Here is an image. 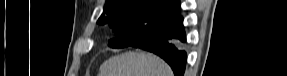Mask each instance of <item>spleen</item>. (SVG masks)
I'll use <instances>...</instances> for the list:
<instances>
[{
	"label": "spleen",
	"instance_id": "1",
	"mask_svg": "<svg viewBox=\"0 0 287 76\" xmlns=\"http://www.w3.org/2000/svg\"><path fill=\"white\" fill-rule=\"evenodd\" d=\"M101 76H173L169 65L146 52L128 51L111 57L100 68Z\"/></svg>",
	"mask_w": 287,
	"mask_h": 76
}]
</instances>
